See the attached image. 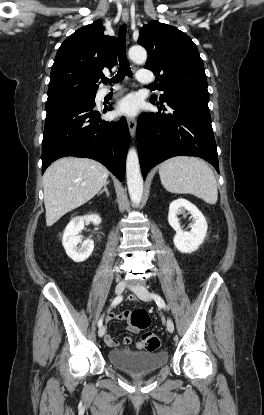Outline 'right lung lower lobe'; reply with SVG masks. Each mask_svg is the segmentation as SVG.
<instances>
[{"label": "right lung lower lobe", "instance_id": "obj_1", "mask_svg": "<svg viewBox=\"0 0 264 415\" xmlns=\"http://www.w3.org/2000/svg\"><path fill=\"white\" fill-rule=\"evenodd\" d=\"M95 104H64L46 108L42 141V174L55 160L65 156L99 161L122 181L130 135L126 119L108 122Z\"/></svg>", "mask_w": 264, "mask_h": 415}]
</instances>
